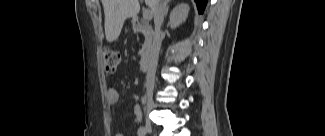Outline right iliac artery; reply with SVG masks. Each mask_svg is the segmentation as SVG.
Returning a JSON list of instances; mask_svg holds the SVG:
<instances>
[{"label":"right iliac artery","instance_id":"obj_1","mask_svg":"<svg viewBox=\"0 0 325 136\" xmlns=\"http://www.w3.org/2000/svg\"><path fill=\"white\" fill-rule=\"evenodd\" d=\"M146 134V130L144 127H141L138 129V135L139 136H144Z\"/></svg>","mask_w":325,"mask_h":136}]
</instances>
